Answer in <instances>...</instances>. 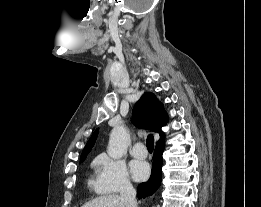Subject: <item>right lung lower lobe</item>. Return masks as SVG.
<instances>
[{"mask_svg": "<svg viewBox=\"0 0 261 207\" xmlns=\"http://www.w3.org/2000/svg\"><path fill=\"white\" fill-rule=\"evenodd\" d=\"M165 148V143L160 142L156 144L153 156V164L151 176L147 182L140 183L137 188V197L139 199L152 195L160 186L162 180V154Z\"/></svg>", "mask_w": 261, "mask_h": 207, "instance_id": "1", "label": "right lung lower lobe"}]
</instances>
